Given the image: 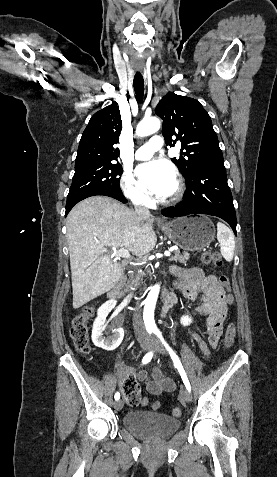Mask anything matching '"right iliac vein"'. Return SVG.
<instances>
[{
  "label": "right iliac vein",
  "instance_id": "63e3f726",
  "mask_svg": "<svg viewBox=\"0 0 277 477\" xmlns=\"http://www.w3.org/2000/svg\"><path fill=\"white\" fill-rule=\"evenodd\" d=\"M141 348L143 351H148L150 349V344L146 341H142L141 342ZM114 407L116 410H121L123 408V401L120 399V400H117L115 403H114Z\"/></svg>",
  "mask_w": 277,
  "mask_h": 477
}]
</instances>
